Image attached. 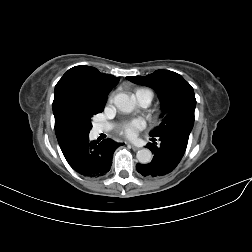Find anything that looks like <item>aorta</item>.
<instances>
[{
  "instance_id": "762f6f07",
  "label": "aorta",
  "mask_w": 252,
  "mask_h": 252,
  "mask_svg": "<svg viewBox=\"0 0 252 252\" xmlns=\"http://www.w3.org/2000/svg\"><path fill=\"white\" fill-rule=\"evenodd\" d=\"M114 104L118 110L124 113H131L134 110V103L128 95L120 93L114 97ZM141 164H147L152 160V153L149 149L143 148L136 154Z\"/></svg>"
}]
</instances>
